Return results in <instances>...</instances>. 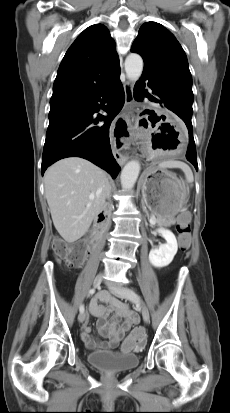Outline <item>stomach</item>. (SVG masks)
I'll list each match as a JSON object with an SVG mask.
<instances>
[{"instance_id":"stomach-1","label":"stomach","mask_w":230,"mask_h":413,"mask_svg":"<svg viewBox=\"0 0 230 413\" xmlns=\"http://www.w3.org/2000/svg\"><path fill=\"white\" fill-rule=\"evenodd\" d=\"M188 189L177 176L152 166L144 172L143 201L158 221L173 219L183 208Z\"/></svg>"}]
</instances>
